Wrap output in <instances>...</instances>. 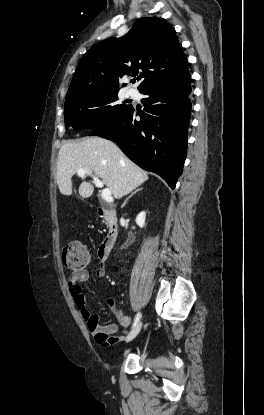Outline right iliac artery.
Listing matches in <instances>:
<instances>
[{"mask_svg": "<svg viewBox=\"0 0 264 415\" xmlns=\"http://www.w3.org/2000/svg\"><path fill=\"white\" fill-rule=\"evenodd\" d=\"M140 317H141L140 313H137V315L135 316V319H134V323L132 325V328H134L137 325V323L140 320Z\"/></svg>", "mask_w": 264, "mask_h": 415, "instance_id": "82829eb1", "label": "right iliac artery"}]
</instances>
